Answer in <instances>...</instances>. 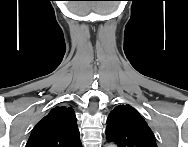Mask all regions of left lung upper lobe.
I'll use <instances>...</instances> for the list:
<instances>
[{"label":"left lung upper lobe","mask_w":188,"mask_h":147,"mask_svg":"<svg viewBox=\"0 0 188 147\" xmlns=\"http://www.w3.org/2000/svg\"><path fill=\"white\" fill-rule=\"evenodd\" d=\"M106 136L119 147H157L146 121L128 104L116 106L111 111L107 119Z\"/></svg>","instance_id":"obj_1"}]
</instances>
